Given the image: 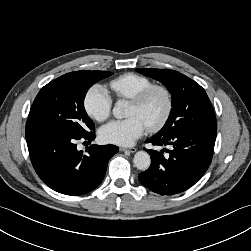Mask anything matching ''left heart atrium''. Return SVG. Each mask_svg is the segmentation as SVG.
<instances>
[{
  "label": "left heart atrium",
  "instance_id": "obj_1",
  "mask_svg": "<svg viewBox=\"0 0 251 251\" xmlns=\"http://www.w3.org/2000/svg\"><path fill=\"white\" fill-rule=\"evenodd\" d=\"M147 128V125L140 117L131 116L107 123L100 128L99 137L105 143L129 146L140 138Z\"/></svg>",
  "mask_w": 251,
  "mask_h": 251
}]
</instances>
